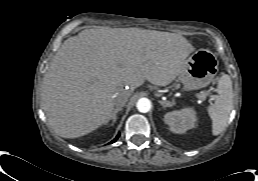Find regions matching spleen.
Wrapping results in <instances>:
<instances>
[{"mask_svg":"<svg viewBox=\"0 0 258 181\" xmlns=\"http://www.w3.org/2000/svg\"><path fill=\"white\" fill-rule=\"evenodd\" d=\"M217 93L215 102L207 108L212 120L213 135H219L224 130L233 109V87L229 75L225 74L220 77Z\"/></svg>","mask_w":258,"mask_h":181,"instance_id":"3e777b00","label":"spleen"}]
</instances>
